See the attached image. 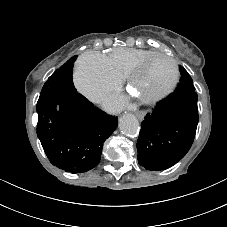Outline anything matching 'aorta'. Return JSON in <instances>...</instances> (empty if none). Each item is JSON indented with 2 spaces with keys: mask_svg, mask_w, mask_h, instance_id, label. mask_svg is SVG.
Wrapping results in <instances>:
<instances>
[{
  "mask_svg": "<svg viewBox=\"0 0 227 227\" xmlns=\"http://www.w3.org/2000/svg\"><path fill=\"white\" fill-rule=\"evenodd\" d=\"M121 132L127 136H136L139 133V121L135 115L125 113L119 121Z\"/></svg>",
  "mask_w": 227,
  "mask_h": 227,
  "instance_id": "aorta-1",
  "label": "aorta"
}]
</instances>
